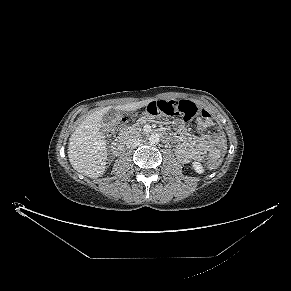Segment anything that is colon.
<instances>
[{"label": "colon", "mask_w": 291, "mask_h": 291, "mask_svg": "<svg viewBox=\"0 0 291 291\" xmlns=\"http://www.w3.org/2000/svg\"><path fill=\"white\" fill-rule=\"evenodd\" d=\"M141 113L152 116H177L180 115L184 119L198 118L206 126H212L211 115L205 109L197 106L188 100H170V101H154L141 109ZM128 120L126 118H118L109 129V134L114 135L117 131L123 129ZM220 160H210L208 166L216 169L220 166Z\"/></svg>", "instance_id": "5ec220e1"}]
</instances>
